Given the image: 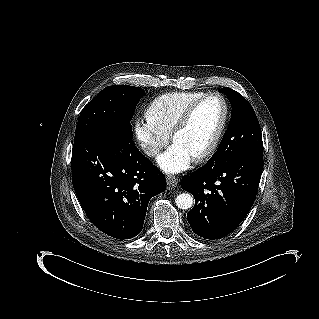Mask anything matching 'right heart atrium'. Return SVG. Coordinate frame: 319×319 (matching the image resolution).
Listing matches in <instances>:
<instances>
[{
	"instance_id": "d8ad5b80",
	"label": "right heart atrium",
	"mask_w": 319,
	"mask_h": 319,
	"mask_svg": "<svg viewBox=\"0 0 319 319\" xmlns=\"http://www.w3.org/2000/svg\"><path fill=\"white\" fill-rule=\"evenodd\" d=\"M139 142L151 155H158L167 145L168 137L166 133L154 130L147 124H142L136 129Z\"/></svg>"
}]
</instances>
